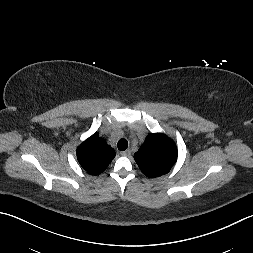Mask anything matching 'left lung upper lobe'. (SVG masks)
Wrapping results in <instances>:
<instances>
[{"label": "left lung upper lobe", "instance_id": "1", "mask_svg": "<svg viewBox=\"0 0 253 253\" xmlns=\"http://www.w3.org/2000/svg\"><path fill=\"white\" fill-rule=\"evenodd\" d=\"M134 158L147 177H158L168 173L175 164L177 147L163 134H149Z\"/></svg>", "mask_w": 253, "mask_h": 253}]
</instances>
